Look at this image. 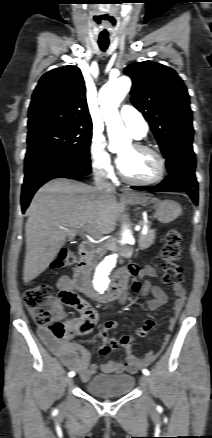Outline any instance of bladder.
I'll use <instances>...</instances> for the list:
<instances>
[{
    "label": "bladder",
    "instance_id": "1",
    "mask_svg": "<svg viewBox=\"0 0 212 438\" xmlns=\"http://www.w3.org/2000/svg\"><path fill=\"white\" fill-rule=\"evenodd\" d=\"M134 384L130 374L97 375L85 383V390L99 397H117L128 395Z\"/></svg>",
    "mask_w": 212,
    "mask_h": 438
}]
</instances>
